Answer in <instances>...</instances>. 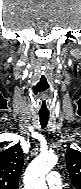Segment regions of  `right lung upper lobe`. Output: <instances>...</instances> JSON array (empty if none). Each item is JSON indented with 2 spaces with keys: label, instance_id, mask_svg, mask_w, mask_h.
Segmentation results:
<instances>
[{
  "label": "right lung upper lobe",
  "instance_id": "cb5924a9",
  "mask_svg": "<svg viewBox=\"0 0 81 189\" xmlns=\"http://www.w3.org/2000/svg\"><path fill=\"white\" fill-rule=\"evenodd\" d=\"M23 164L24 155L19 144L0 153V189H18Z\"/></svg>",
  "mask_w": 81,
  "mask_h": 189
}]
</instances>
